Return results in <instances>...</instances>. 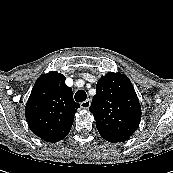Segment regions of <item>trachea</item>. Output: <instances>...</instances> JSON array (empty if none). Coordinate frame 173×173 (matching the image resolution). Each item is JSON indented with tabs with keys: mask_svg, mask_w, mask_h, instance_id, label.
<instances>
[{
	"mask_svg": "<svg viewBox=\"0 0 173 173\" xmlns=\"http://www.w3.org/2000/svg\"><path fill=\"white\" fill-rule=\"evenodd\" d=\"M76 102H84L87 98L86 92L84 90H79L74 96Z\"/></svg>",
	"mask_w": 173,
	"mask_h": 173,
	"instance_id": "1",
	"label": "trachea"
}]
</instances>
